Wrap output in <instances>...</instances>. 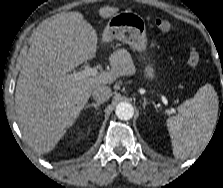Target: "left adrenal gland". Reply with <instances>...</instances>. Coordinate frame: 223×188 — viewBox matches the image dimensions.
I'll return each instance as SVG.
<instances>
[{
  "label": "left adrenal gland",
  "instance_id": "obj_1",
  "mask_svg": "<svg viewBox=\"0 0 223 188\" xmlns=\"http://www.w3.org/2000/svg\"><path fill=\"white\" fill-rule=\"evenodd\" d=\"M143 100H144V102H143V108L145 109V106L148 104V102H147V99L145 97H143Z\"/></svg>",
  "mask_w": 223,
  "mask_h": 188
}]
</instances>
